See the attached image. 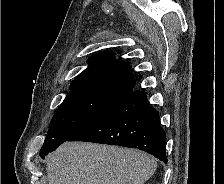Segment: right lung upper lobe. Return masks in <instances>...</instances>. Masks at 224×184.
<instances>
[{"label": "right lung upper lobe", "instance_id": "right-lung-upper-lobe-1", "mask_svg": "<svg viewBox=\"0 0 224 184\" xmlns=\"http://www.w3.org/2000/svg\"><path fill=\"white\" fill-rule=\"evenodd\" d=\"M88 68L81 72L72 82L70 88L87 83H112L135 87V78L130 65L121 59H116L112 52L105 51L94 54L87 61Z\"/></svg>", "mask_w": 224, "mask_h": 184}]
</instances>
